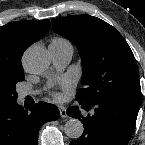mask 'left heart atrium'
Masks as SVG:
<instances>
[{
	"label": "left heart atrium",
	"instance_id": "1",
	"mask_svg": "<svg viewBox=\"0 0 145 145\" xmlns=\"http://www.w3.org/2000/svg\"><path fill=\"white\" fill-rule=\"evenodd\" d=\"M72 85V82L70 79H63L62 80V86L65 87V88H70ZM53 96L56 98V99H59L60 98V95L56 92H53Z\"/></svg>",
	"mask_w": 145,
	"mask_h": 145
}]
</instances>
